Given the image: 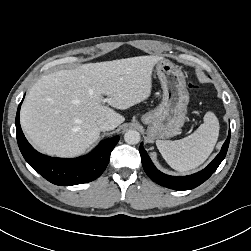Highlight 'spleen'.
<instances>
[{
	"mask_svg": "<svg viewBox=\"0 0 251 251\" xmlns=\"http://www.w3.org/2000/svg\"><path fill=\"white\" fill-rule=\"evenodd\" d=\"M219 121L207 112L204 123L191 135L175 141L157 140L156 146L170 167L186 172L200 166L212 153L219 136Z\"/></svg>",
	"mask_w": 251,
	"mask_h": 251,
	"instance_id": "spleen-1",
	"label": "spleen"
}]
</instances>
